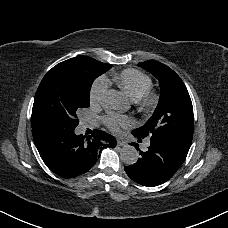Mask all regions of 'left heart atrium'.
<instances>
[{"label": "left heart atrium", "instance_id": "obj_1", "mask_svg": "<svg viewBox=\"0 0 228 228\" xmlns=\"http://www.w3.org/2000/svg\"><path fill=\"white\" fill-rule=\"evenodd\" d=\"M108 128L113 132H119L121 129L130 126V120L121 114L111 113L105 117Z\"/></svg>", "mask_w": 228, "mask_h": 228}]
</instances>
